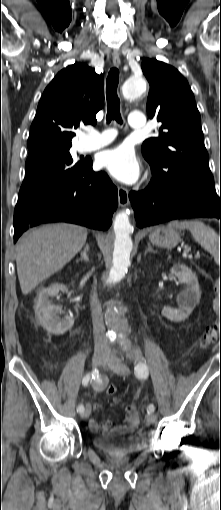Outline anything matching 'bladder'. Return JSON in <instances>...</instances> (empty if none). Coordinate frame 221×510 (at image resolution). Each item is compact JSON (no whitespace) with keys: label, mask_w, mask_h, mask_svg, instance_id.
<instances>
[{"label":"bladder","mask_w":221,"mask_h":510,"mask_svg":"<svg viewBox=\"0 0 221 510\" xmlns=\"http://www.w3.org/2000/svg\"><path fill=\"white\" fill-rule=\"evenodd\" d=\"M94 446L101 452L109 455H134L143 451L146 441L140 436H121L119 434H108L93 439Z\"/></svg>","instance_id":"obj_1"}]
</instances>
